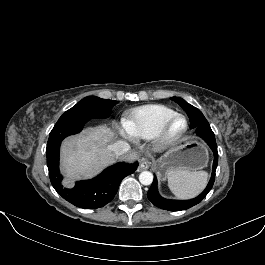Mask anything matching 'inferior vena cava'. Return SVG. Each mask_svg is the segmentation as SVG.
Returning <instances> with one entry per match:
<instances>
[{"instance_id":"obj_1","label":"inferior vena cava","mask_w":265,"mask_h":265,"mask_svg":"<svg viewBox=\"0 0 265 265\" xmlns=\"http://www.w3.org/2000/svg\"><path fill=\"white\" fill-rule=\"evenodd\" d=\"M107 150L112 158L124 159L130 150V146L127 142L119 140L108 145Z\"/></svg>"}]
</instances>
